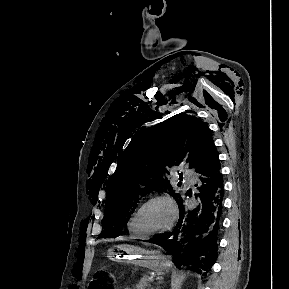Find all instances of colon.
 <instances>
[{
  "label": "colon",
  "instance_id": "colon-1",
  "mask_svg": "<svg viewBox=\"0 0 289 289\" xmlns=\"http://www.w3.org/2000/svg\"><path fill=\"white\" fill-rule=\"evenodd\" d=\"M112 277L106 272L98 271L91 280L88 289H111Z\"/></svg>",
  "mask_w": 289,
  "mask_h": 289
}]
</instances>
